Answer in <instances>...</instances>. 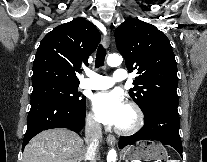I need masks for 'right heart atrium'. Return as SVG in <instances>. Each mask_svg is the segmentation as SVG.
<instances>
[{"instance_id": "1", "label": "right heart atrium", "mask_w": 207, "mask_h": 162, "mask_svg": "<svg viewBox=\"0 0 207 162\" xmlns=\"http://www.w3.org/2000/svg\"><path fill=\"white\" fill-rule=\"evenodd\" d=\"M87 123L94 128H97L99 126L96 117L92 113H89L87 115Z\"/></svg>"}]
</instances>
